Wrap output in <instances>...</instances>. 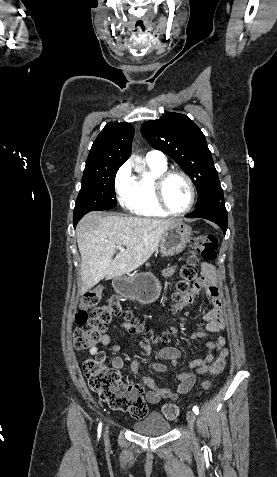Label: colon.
<instances>
[{
	"label": "colon",
	"mask_w": 277,
	"mask_h": 477,
	"mask_svg": "<svg viewBox=\"0 0 277 477\" xmlns=\"http://www.w3.org/2000/svg\"><path fill=\"white\" fill-rule=\"evenodd\" d=\"M217 246V239L211 235H200L191 241V254L180 268V277L176 282V292L173 296L174 311L182 310L179 305L188 298L198 285V256L206 261L214 260L217 256ZM102 297V287H97L82 297L80 308L75 315V321L87 327L78 328L74 331V345L78 350L91 348L101 342L114 317H122L130 321L132 330L135 333H143L145 339L149 340L154 337L150 331L145 330L142 325L133 319L132 313L125 310L116 298L111 299L107 305H101ZM89 310L92 312L90 317L88 316ZM171 333V331L164 332L156 338L163 343H167L171 338ZM226 355V350H222L212 364L209 373L218 374L224 369ZM83 370L90 388L111 409L128 412L135 418L146 415L147 406L143 399L142 387L137 384H124L119 373L108 366L105 358L87 359L84 362ZM163 414L168 419H175L179 415V407L171 403L166 404L163 407Z\"/></svg>",
	"instance_id": "5ec220e1"
}]
</instances>
